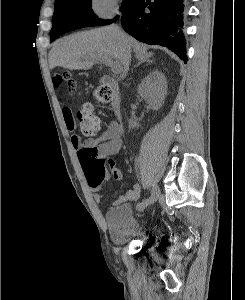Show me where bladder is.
Masks as SVG:
<instances>
[{"label": "bladder", "instance_id": "bladder-1", "mask_svg": "<svg viewBox=\"0 0 245 300\" xmlns=\"http://www.w3.org/2000/svg\"><path fill=\"white\" fill-rule=\"evenodd\" d=\"M105 220L110 238L117 245L143 240L151 231L149 224L140 219L127 202L109 208Z\"/></svg>", "mask_w": 245, "mask_h": 300}]
</instances>
